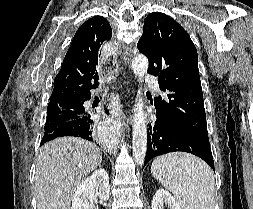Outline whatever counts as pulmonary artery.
<instances>
[{"mask_svg":"<svg viewBox=\"0 0 253 209\" xmlns=\"http://www.w3.org/2000/svg\"><path fill=\"white\" fill-rule=\"evenodd\" d=\"M147 86L154 90H159V85L156 77L147 76L145 79Z\"/></svg>","mask_w":253,"mask_h":209,"instance_id":"obj_1","label":"pulmonary artery"}]
</instances>
